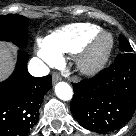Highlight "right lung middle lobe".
<instances>
[{"label": "right lung middle lobe", "mask_w": 136, "mask_h": 136, "mask_svg": "<svg viewBox=\"0 0 136 136\" xmlns=\"http://www.w3.org/2000/svg\"><path fill=\"white\" fill-rule=\"evenodd\" d=\"M28 19L18 14L0 16V40L11 41L19 47L27 44Z\"/></svg>", "instance_id": "right-lung-middle-lobe-1"}]
</instances>
